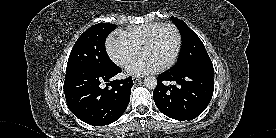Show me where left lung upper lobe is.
<instances>
[{
  "label": "left lung upper lobe",
  "mask_w": 276,
  "mask_h": 138,
  "mask_svg": "<svg viewBox=\"0 0 276 138\" xmlns=\"http://www.w3.org/2000/svg\"><path fill=\"white\" fill-rule=\"evenodd\" d=\"M173 21L182 36V48L178 62L170 70L180 72L212 65L204 44L195 32L182 20L173 18Z\"/></svg>",
  "instance_id": "1"
}]
</instances>
